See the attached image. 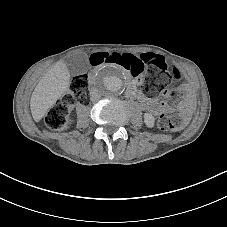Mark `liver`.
<instances>
[{
  "label": "liver",
  "instance_id": "liver-1",
  "mask_svg": "<svg viewBox=\"0 0 227 227\" xmlns=\"http://www.w3.org/2000/svg\"><path fill=\"white\" fill-rule=\"evenodd\" d=\"M70 86V72L64 61H58L40 79L30 98V110L35 122H39L66 93Z\"/></svg>",
  "mask_w": 227,
  "mask_h": 227
}]
</instances>
